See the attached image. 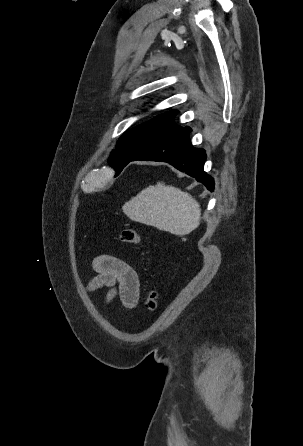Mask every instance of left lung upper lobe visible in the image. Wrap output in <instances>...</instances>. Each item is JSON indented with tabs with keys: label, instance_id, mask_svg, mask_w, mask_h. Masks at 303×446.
<instances>
[{
	"label": "left lung upper lobe",
	"instance_id": "5c2ea615",
	"mask_svg": "<svg viewBox=\"0 0 303 446\" xmlns=\"http://www.w3.org/2000/svg\"><path fill=\"white\" fill-rule=\"evenodd\" d=\"M176 114L175 110L165 112L126 131L118 140L116 150L111 153L110 165L117 169L127 158L178 131L181 127L174 122Z\"/></svg>",
	"mask_w": 303,
	"mask_h": 446
}]
</instances>
